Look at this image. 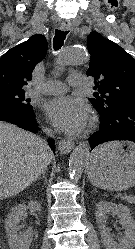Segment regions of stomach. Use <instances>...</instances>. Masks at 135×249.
<instances>
[{
    "label": "stomach",
    "instance_id": "1",
    "mask_svg": "<svg viewBox=\"0 0 135 249\" xmlns=\"http://www.w3.org/2000/svg\"><path fill=\"white\" fill-rule=\"evenodd\" d=\"M91 183L111 191L135 185V144L109 142L94 150L88 164Z\"/></svg>",
    "mask_w": 135,
    "mask_h": 249
}]
</instances>
